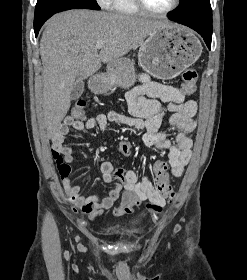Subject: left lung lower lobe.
Returning a JSON list of instances; mask_svg holds the SVG:
<instances>
[{
	"label": "left lung lower lobe",
	"instance_id": "0a47b994",
	"mask_svg": "<svg viewBox=\"0 0 247 280\" xmlns=\"http://www.w3.org/2000/svg\"><path fill=\"white\" fill-rule=\"evenodd\" d=\"M171 21L183 24L188 26L198 32L204 39L208 48H211V40H212V22H206L202 20H185L176 18L173 15L169 16Z\"/></svg>",
	"mask_w": 247,
	"mask_h": 280
}]
</instances>
